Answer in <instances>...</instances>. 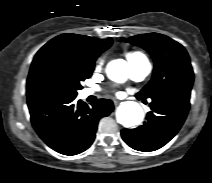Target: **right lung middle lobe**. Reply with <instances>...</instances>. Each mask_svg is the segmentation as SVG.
Masks as SVG:
<instances>
[{"instance_id":"obj_1","label":"right lung middle lobe","mask_w":212,"mask_h":183,"mask_svg":"<svg viewBox=\"0 0 212 183\" xmlns=\"http://www.w3.org/2000/svg\"><path fill=\"white\" fill-rule=\"evenodd\" d=\"M94 65H84L70 55L50 49L32 63L27 80V97L59 94L76 97L81 82L88 79Z\"/></svg>"}]
</instances>
